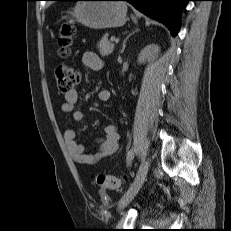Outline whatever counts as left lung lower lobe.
I'll use <instances>...</instances> for the list:
<instances>
[{
  "mask_svg": "<svg viewBox=\"0 0 231 231\" xmlns=\"http://www.w3.org/2000/svg\"><path fill=\"white\" fill-rule=\"evenodd\" d=\"M77 1V0H62ZM127 1L145 15L161 21L173 35L178 32L181 10L190 0H121Z\"/></svg>",
  "mask_w": 231,
  "mask_h": 231,
  "instance_id": "0a47b994",
  "label": "left lung lower lobe"
}]
</instances>
